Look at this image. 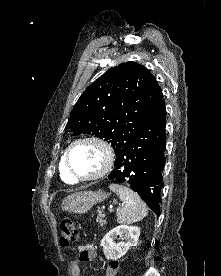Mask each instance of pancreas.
I'll return each mask as SVG.
<instances>
[{"label": "pancreas", "instance_id": "obj_1", "mask_svg": "<svg viewBox=\"0 0 221 276\" xmlns=\"http://www.w3.org/2000/svg\"><path fill=\"white\" fill-rule=\"evenodd\" d=\"M104 218H105V215L102 214V212H99V215H98V217H97V222H98L100 225L106 224V220H105Z\"/></svg>", "mask_w": 221, "mask_h": 276}]
</instances>
